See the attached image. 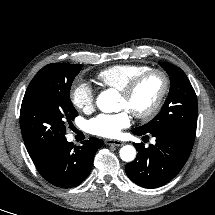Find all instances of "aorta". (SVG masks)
<instances>
[{
    "label": "aorta",
    "instance_id": "aorta-1",
    "mask_svg": "<svg viewBox=\"0 0 215 215\" xmlns=\"http://www.w3.org/2000/svg\"><path fill=\"white\" fill-rule=\"evenodd\" d=\"M119 100V94L114 89H108L100 93L97 98V107L105 113H111L116 110V102ZM136 150L131 145H125L120 149V157L125 162H131L135 159Z\"/></svg>",
    "mask_w": 215,
    "mask_h": 215
}]
</instances>
